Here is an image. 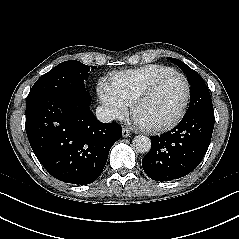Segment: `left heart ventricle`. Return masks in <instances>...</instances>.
Wrapping results in <instances>:
<instances>
[{
    "mask_svg": "<svg viewBox=\"0 0 239 239\" xmlns=\"http://www.w3.org/2000/svg\"><path fill=\"white\" fill-rule=\"evenodd\" d=\"M184 81L179 76L164 79L137 109L135 117L146 126L169 122L180 111L185 97Z\"/></svg>",
    "mask_w": 239,
    "mask_h": 239,
    "instance_id": "1",
    "label": "left heart ventricle"
}]
</instances>
